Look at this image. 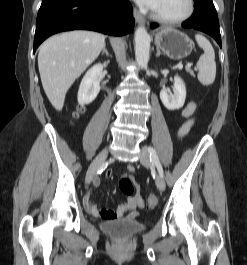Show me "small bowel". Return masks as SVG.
Segmentation results:
<instances>
[{"instance_id": "obj_1", "label": "small bowel", "mask_w": 247, "mask_h": 265, "mask_svg": "<svg viewBox=\"0 0 247 265\" xmlns=\"http://www.w3.org/2000/svg\"><path fill=\"white\" fill-rule=\"evenodd\" d=\"M196 110V103L194 101H189L183 110L181 111L180 116L182 118H189L178 130V137L183 138L190 130L192 125L194 124V119L190 118ZM127 170L132 172L134 167L132 165L127 166ZM106 177L111 176V171H106ZM99 181L95 180V185H98ZM83 205L85 209L92 215L106 219L113 220L116 218H120L123 215L129 213L130 217H135L138 214V209H141L144 206V201L142 197L136 196L129 198L125 203L119 205L116 209H106L96 205L91 195L88 193L83 198Z\"/></svg>"}]
</instances>
